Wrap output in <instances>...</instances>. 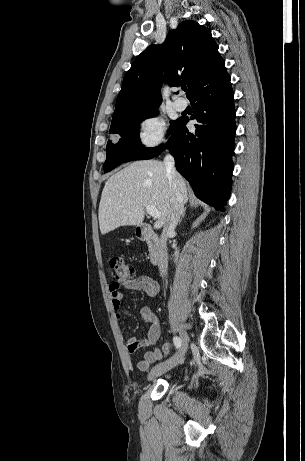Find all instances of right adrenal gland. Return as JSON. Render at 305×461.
Instances as JSON below:
<instances>
[{
    "label": "right adrenal gland",
    "mask_w": 305,
    "mask_h": 461,
    "mask_svg": "<svg viewBox=\"0 0 305 461\" xmlns=\"http://www.w3.org/2000/svg\"><path fill=\"white\" fill-rule=\"evenodd\" d=\"M186 209H187V208L185 207V208L183 209L182 213H181V218H180V220H179V224H181L183 218L185 217Z\"/></svg>",
    "instance_id": "1"
}]
</instances>
